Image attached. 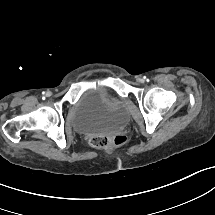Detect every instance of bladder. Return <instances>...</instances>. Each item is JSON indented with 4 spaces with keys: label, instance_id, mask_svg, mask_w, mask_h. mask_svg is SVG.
<instances>
[{
    "label": "bladder",
    "instance_id": "31cf9c89",
    "mask_svg": "<svg viewBox=\"0 0 215 215\" xmlns=\"http://www.w3.org/2000/svg\"><path fill=\"white\" fill-rule=\"evenodd\" d=\"M128 121L126 108L117 103L113 108L87 106L80 102L72 118V128L80 135L111 136L120 132Z\"/></svg>",
    "mask_w": 215,
    "mask_h": 215
}]
</instances>
